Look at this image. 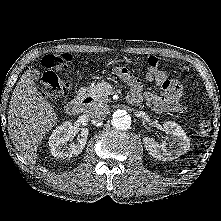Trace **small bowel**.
<instances>
[{
	"mask_svg": "<svg viewBox=\"0 0 221 221\" xmlns=\"http://www.w3.org/2000/svg\"><path fill=\"white\" fill-rule=\"evenodd\" d=\"M117 75L130 86V93L128 100L132 104H140L143 100L152 108L156 113L174 112L182 113L185 111V106L182 101L184 99V90L182 85L177 80L168 79L167 83L162 85V91L158 94L142 90V83L138 77L131 73L126 68H118ZM148 80L154 81L152 79Z\"/></svg>",
	"mask_w": 221,
	"mask_h": 221,
	"instance_id": "c3829d8e",
	"label": "small bowel"
}]
</instances>
